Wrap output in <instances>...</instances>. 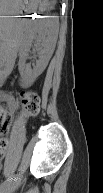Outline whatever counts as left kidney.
I'll list each match as a JSON object with an SVG mask.
<instances>
[{
	"label": "left kidney",
	"instance_id": "5707ae66",
	"mask_svg": "<svg viewBox=\"0 0 103 193\" xmlns=\"http://www.w3.org/2000/svg\"><path fill=\"white\" fill-rule=\"evenodd\" d=\"M41 18H45L41 16ZM47 19H40L35 22L32 29L33 35L31 40L26 42L20 53L18 69L21 77L34 82L36 78L43 73L48 65L50 58L52 57L54 46L58 37L59 23L58 20L51 16L46 17ZM32 39H35L36 48L39 50V59L36 65L31 68L26 63L28 53L32 44Z\"/></svg>",
	"mask_w": 103,
	"mask_h": 193
}]
</instances>
